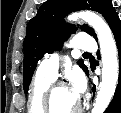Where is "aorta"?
Instances as JSON below:
<instances>
[{"instance_id": "aorta-1", "label": "aorta", "mask_w": 121, "mask_h": 113, "mask_svg": "<svg viewBox=\"0 0 121 113\" xmlns=\"http://www.w3.org/2000/svg\"><path fill=\"white\" fill-rule=\"evenodd\" d=\"M78 18L83 19L95 30L100 43L103 64L102 81L92 113H103L115 93L118 80L119 63L116 43L108 24L95 13L83 11L72 15L73 20Z\"/></svg>"}]
</instances>
